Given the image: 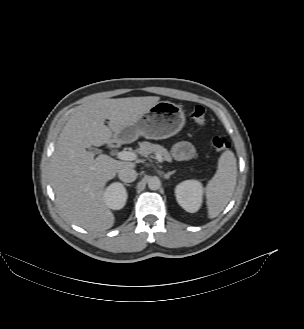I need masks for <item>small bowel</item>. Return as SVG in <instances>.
<instances>
[{"label": "small bowel", "instance_id": "obj_1", "mask_svg": "<svg viewBox=\"0 0 304 329\" xmlns=\"http://www.w3.org/2000/svg\"><path fill=\"white\" fill-rule=\"evenodd\" d=\"M172 154L177 160H189L194 155V148L187 142H179L173 146Z\"/></svg>", "mask_w": 304, "mask_h": 329}]
</instances>
